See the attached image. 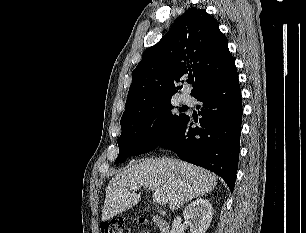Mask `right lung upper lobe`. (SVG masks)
<instances>
[{
	"instance_id": "cb5924a9",
	"label": "right lung upper lobe",
	"mask_w": 306,
	"mask_h": 233,
	"mask_svg": "<svg viewBox=\"0 0 306 233\" xmlns=\"http://www.w3.org/2000/svg\"><path fill=\"white\" fill-rule=\"evenodd\" d=\"M235 70L217 21L203 9L190 8L143 53L132 72L123 116L170 99L176 93L175 82L183 76L195 77L191 95L197 98Z\"/></svg>"
}]
</instances>
